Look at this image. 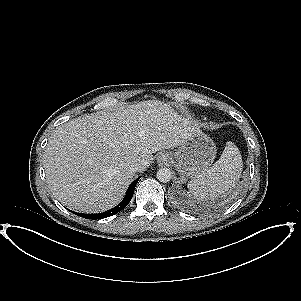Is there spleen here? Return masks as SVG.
<instances>
[{
	"mask_svg": "<svg viewBox=\"0 0 301 301\" xmlns=\"http://www.w3.org/2000/svg\"><path fill=\"white\" fill-rule=\"evenodd\" d=\"M239 149L227 142L220 158L202 174L188 183L191 194L201 199H212L230 192L240 179L243 170Z\"/></svg>",
	"mask_w": 301,
	"mask_h": 301,
	"instance_id": "1",
	"label": "spleen"
}]
</instances>
